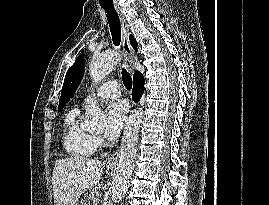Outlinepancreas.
<instances>
[{"mask_svg":"<svg viewBox=\"0 0 269 205\" xmlns=\"http://www.w3.org/2000/svg\"><path fill=\"white\" fill-rule=\"evenodd\" d=\"M95 193L96 192L93 190V191H91V193L88 196L89 200L92 201L91 205H98L99 197Z\"/></svg>","mask_w":269,"mask_h":205,"instance_id":"obj_1","label":"pancreas"}]
</instances>
